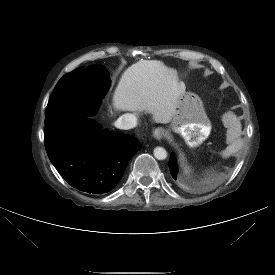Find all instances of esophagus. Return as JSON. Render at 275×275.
<instances>
[{
  "label": "esophagus",
  "instance_id": "esophagus-1",
  "mask_svg": "<svg viewBox=\"0 0 275 275\" xmlns=\"http://www.w3.org/2000/svg\"><path fill=\"white\" fill-rule=\"evenodd\" d=\"M165 129L162 127H158L153 131V136L157 140H161L164 137Z\"/></svg>",
  "mask_w": 275,
  "mask_h": 275
}]
</instances>
